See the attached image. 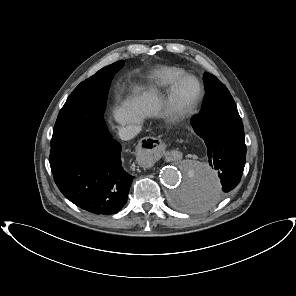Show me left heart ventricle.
Wrapping results in <instances>:
<instances>
[{"label":"left heart ventricle","mask_w":296,"mask_h":296,"mask_svg":"<svg viewBox=\"0 0 296 296\" xmlns=\"http://www.w3.org/2000/svg\"><path fill=\"white\" fill-rule=\"evenodd\" d=\"M196 93L197 86L195 82L192 80H187L178 89L177 96L180 101L185 102L192 99Z\"/></svg>","instance_id":"1"}]
</instances>
